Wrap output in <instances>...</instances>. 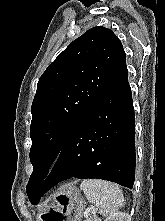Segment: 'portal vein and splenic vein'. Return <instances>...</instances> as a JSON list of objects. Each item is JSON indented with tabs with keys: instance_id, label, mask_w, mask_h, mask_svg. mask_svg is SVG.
<instances>
[{
	"instance_id": "portal-vein-and-splenic-vein-1",
	"label": "portal vein and splenic vein",
	"mask_w": 165,
	"mask_h": 221,
	"mask_svg": "<svg viewBox=\"0 0 165 221\" xmlns=\"http://www.w3.org/2000/svg\"><path fill=\"white\" fill-rule=\"evenodd\" d=\"M92 208H88L87 212H89ZM86 221H92L91 219H87Z\"/></svg>"
}]
</instances>
